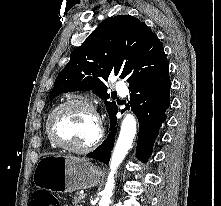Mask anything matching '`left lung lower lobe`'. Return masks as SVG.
I'll list each match as a JSON object with an SVG mask.
<instances>
[{
    "mask_svg": "<svg viewBox=\"0 0 221 206\" xmlns=\"http://www.w3.org/2000/svg\"><path fill=\"white\" fill-rule=\"evenodd\" d=\"M131 94L127 108L136 114L139 121V136L136 157L143 162L150 157L154 141L159 133V128L166 119V110L170 103V78L169 68L158 75L148 78L129 88ZM114 111L110 120V130L107 139L88 157L108 163L111 149L115 141L117 131L116 114Z\"/></svg>",
    "mask_w": 221,
    "mask_h": 206,
    "instance_id": "0a47b994",
    "label": "left lung lower lobe"
}]
</instances>
